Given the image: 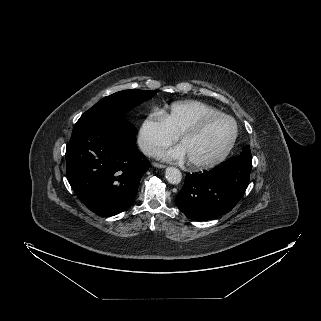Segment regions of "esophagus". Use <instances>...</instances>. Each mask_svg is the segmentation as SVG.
<instances>
[{
    "label": "esophagus",
    "instance_id": "1",
    "mask_svg": "<svg viewBox=\"0 0 321 321\" xmlns=\"http://www.w3.org/2000/svg\"><path fill=\"white\" fill-rule=\"evenodd\" d=\"M153 166L157 167V168H165L166 167V165L160 164V163H156V162L153 163Z\"/></svg>",
    "mask_w": 321,
    "mask_h": 321
}]
</instances>
